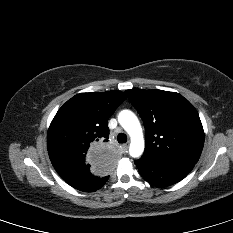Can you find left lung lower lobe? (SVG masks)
Listing matches in <instances>:
<instances>
[{
	"mask_svg": "<svg viewBox=\"0 0 233 233\" xmlns=\"http://www.w3.org/2000/svg\"><path fill=\"white\" fill-rule=\"evenodd\" d=\"M141 176L150 184L166 187L185 178L194 165L185 161H154L141 157L135 161Z\"/></svg>",
	"mask_w": 233,
	"mask_h": 233,
	"instance_id": "1",
	"label": "left lung lower lobe"
}]
</instances>
